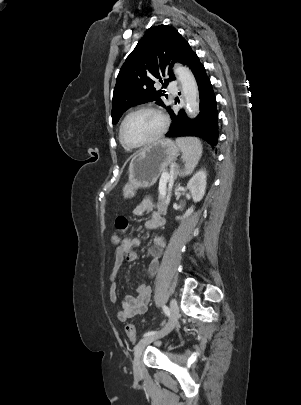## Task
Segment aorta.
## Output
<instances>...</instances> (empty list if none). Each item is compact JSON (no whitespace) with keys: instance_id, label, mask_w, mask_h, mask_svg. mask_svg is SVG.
Returning a JSON list of instances; mask_svg holds the SVG:
<instances>
[{"instance_id":"762f6f07","label":"aorta","mask_w":301,"mask_h":405,"mask_svg":"<svg viewBox=\"0 0 301 405\" xmlns=\"http://www.w3.org/2000/svg\"><path fill=\"white\" fill-rule=\"evenodd\" d=\"M174 73L182 85L187 115L195 118L199 114V91L196 79L186 66L176 65Z\"/></svg>"}]
</instances>
